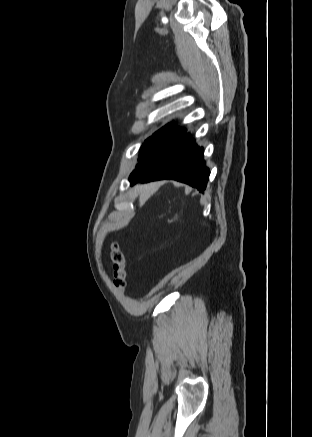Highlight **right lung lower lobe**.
<instances>
[{
    "label": "right lung lower lobe",
    "mask_w": 312,
    "mask_h": 437,
    "mask_svg": "<svg viewBox=\"0 0 312 437\" xmlns=\"http://www.w3.org/2000/svg\"><path fill=\"white\" fill-rule=\"evenodd\" d=\"M204 163L203 148L184 133L161 148L141 153L139 164L129 180L134 184L138 181L174 179L203 192L210 174Z\"/></svg>",
    "instance_id": "right-lung-lower-lobe-1"
}]
</instances>
